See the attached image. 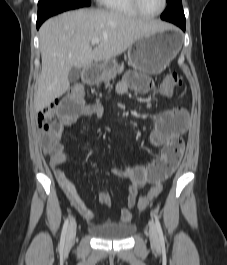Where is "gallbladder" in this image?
Returning <instances> with one entry per match:
<instances>
[{
	"label": "gallbladder",
	"instance_id": "obj_1",
	"mask_svg": "<svg viewBox=\"0 0 227 265\" xmlns=\"http://www.w3.org/2000/svg\"><path fill=\"white\" fill-rule=\"evenodd\" d=\"M80 75L81 69L77 67H72L69 72L68 79L70 82H76L80 78Z\"/></svg>",
	"mask_w": 227,
	"mask_h": 265
}]
</instances>
